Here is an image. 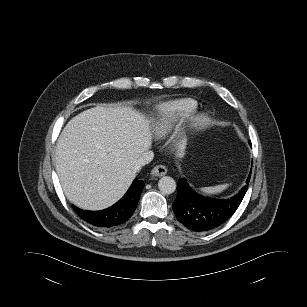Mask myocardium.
I'll list each match as a JSON object with an SVG mask.
<instances>
[{"mask_svg": "<svg viewBox=\"0 0 307 307\" xmlns=\"http://www.w3.org/2000/svg\"><path fill=\"white\" fill-rule=\"evenodd\" d=\"M209 122V117L207 115H200L194 121V126L196 129H201L205 127Z\"/></svg>", "mask_w": 307, "mask_h": 307, "instance_id": "myocardium-1", "label": "myocardium"}]
</instances>
